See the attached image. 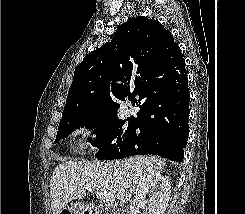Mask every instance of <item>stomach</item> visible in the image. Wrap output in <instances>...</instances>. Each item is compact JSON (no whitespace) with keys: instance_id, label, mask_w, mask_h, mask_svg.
<instances>
[{"instance_id":"0dacf381","label":"stomach","mask_w":245,"mask_h":214,"mask_svg":"<svg viewBox=\"0 0 245 214\" xmlns=\"http://www.w3.org/2000/svg\"><path fill=\"white\" fill-rule=\"evenodd\" d=\"M70 214H82L83 207L80 203H71L67 209Z\"/></svg>"}]
</instances>
